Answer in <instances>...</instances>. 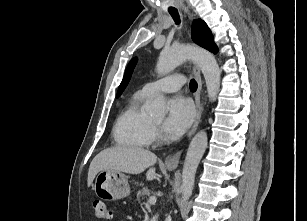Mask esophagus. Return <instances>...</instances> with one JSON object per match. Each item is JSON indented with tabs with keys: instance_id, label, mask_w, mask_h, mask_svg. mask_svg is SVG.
I'll return each mask as SVG.
<instances>
[{
	"instance_id": "esophagus-1",
	"label": "esophagus",
	"mask_w": 307,
	"mask_h": 221,
	"mask_svg": "<svg viewBox=\"0 0 307 221\" xmlns=\"http://www.w3.org/2000/svg\"><path fill=\"white\" fill-rule=\"evenodd\" d=\"M183 10L188 15L189 19L192 20L193 15L190 13L189 9L187 7H183ZM193 72L195 74V77L197 79V84H198L197 90L194 94L195 106H196V118H195L194 124L190 132L188 133V138H190L197 130V127L201 121V117L203 114V104L201 101L202 76H201L200 69L196 65H193ZM181 155H182V150L174 153L171 156H168L164 161L165 166L168 168H176L179 164Z\"/></svg>"
}]
</instances>
